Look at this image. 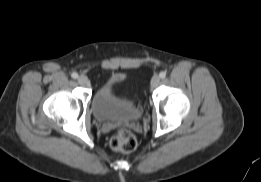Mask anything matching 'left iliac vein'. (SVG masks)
Listing matches in <instances>:
<instances>
[{
  "instance_id": "left-iliac-vein-1",
  "label": "left iliac vein",
  "mask_w": 261,
  "mask_h": 182,
  "mask_svg": "<svg viewBox=\"0 0 261 182\" xmlns=\"http://www.w3.org/2000/svg\"><path fill=\"white\" fill-rule=\"evenodd\" d=\"M160 83V78L158 75L153 76V78L151 79V87L152 88H156Z\"/></svg>"
}]
</instances>
